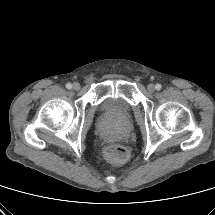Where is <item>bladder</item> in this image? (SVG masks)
<instances>
[{
  "mask_svg": "<svg viewBox=\"0 0 215 215\" xmlns=\"http://www.w3.org/2000/svg\"><path fill=\"white\" fill-rule=\"evenodd\" d=\"M100 111L107 116L122 118L130 112V105L121 98L108 97L100 103Z\"/></svg>",
  "mask_w": 215,
  "mask_h": 215,
  "instance_id": "1",
  "label": "bladder"
}]
</instances>
